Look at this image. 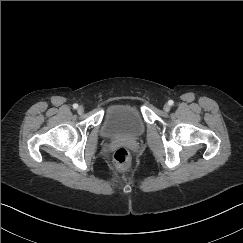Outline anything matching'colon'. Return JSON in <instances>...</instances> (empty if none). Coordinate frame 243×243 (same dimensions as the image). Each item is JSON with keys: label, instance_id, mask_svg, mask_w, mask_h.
Masks as SVG:
<instances>
[{"label": "colon", "instance_id": "1", "mask_svg": "<svg viewBox=\"0 0 243 243\" xmlns=\"http://www.w3.org/2000/svg\"><path fill=\"white\" fill-rule=\"evenodd\" d=\"M113 162L119 170H129L131 167V156L129 151L124 147L118 148L113 155Z\"/></svg>", "mask_w": 243, "mask_h": 243}]
</instances>
